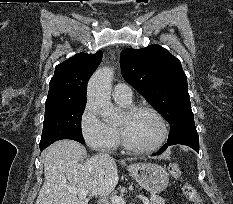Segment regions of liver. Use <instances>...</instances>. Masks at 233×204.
Instances as JSON below:
<instances>
[{
	"mask_svg": "<svg viewBox=\"0 0 233 204\" xmlns=\"http://www.w3.org/2000/svg\"><path fill=\"white\" fill-rule=\"evenodd\" d=\"M87 151L73 140H60L42 153L45 181L36 204H88L67 187L87 190L89 196L106 198L119 181L114 159L103 160L93 156L86 160Z\"/></svg>",
	"mask_w": 233,
	"mask_h": 204,
	"instance_id": "1",
	"label": "liver"
}]
</instances>
